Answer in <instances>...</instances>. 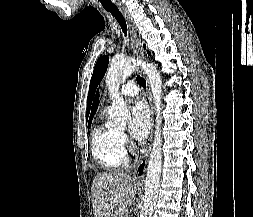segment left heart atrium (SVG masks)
<instances>
[{"label":"left heart atrium","mask_w":253,"mask_h":217,"mask_svg":"<svg viewBox=\"0 0 253 217\" xmlns=\"http://www.w3.org/2000/svg\"><path fill=\"white\" fill-rule=\"evenodd\" d=\"M150 114L146 104L137 101L131 108L130 132L138 140L144 139L150 130Z\"/></svg>","instance_id":"1"}]
</instances>
